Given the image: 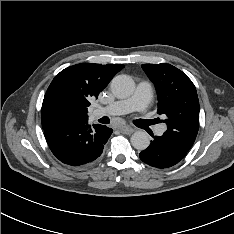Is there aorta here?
Masks as SVG:
<instances>
[{
	"label": "aorta",
	"instance_id": "1",
	"mask_svg": "<svg viewBox=\"0 0 234 234\" xmlns=\"http://www.w3.org/2000/svg\"><path fill=\"white\" fill-rule=\"evenodd\" d=\"M111 90L117 98H127L134 91V81L127 75H118L111 81ZM131 144L137 150H145L150 144L148 134L144 131H136L131 136Z\"/></svg>",
	"mask_w": 234,
	"mask_h": 234
}]
</instances>
